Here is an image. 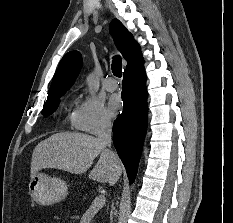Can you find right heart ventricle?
<instances>
[{
  "label": "right heart ventricle",
  "instance_id": "right-heart-ventricle-1",
  "mask_svg": "<svg viewBox=\"0 0 233 223\" xmlns=\"http://www.w3.org/2000/svg\"><path fill=\"white\" fill-rule=\"evenodd\" d=\"M75 111L76 110H69L63 118L64 124H71L74 126V119H75Z\"/></svg>",
  "mask_w": 233,
  "mask_h": 223
}]
</instances>
